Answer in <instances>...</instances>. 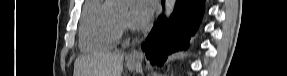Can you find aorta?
Listing matches in <instances>:
<instances>
[{"label": "aorta", "instance_id": "aorta-1", "mask_svg": "<svg viewBox=\"0 0 287 76\" xmlns=\"http://www.w3.org/2000/svg\"><path fill=\"white\" fill-rule=\"evenodd\" d=\"M176 1L175 0H166L165 1V16L169 18L174 10Z\"/></svg>", "mask_w": 287, "mask_h": 76}]
</instances>
